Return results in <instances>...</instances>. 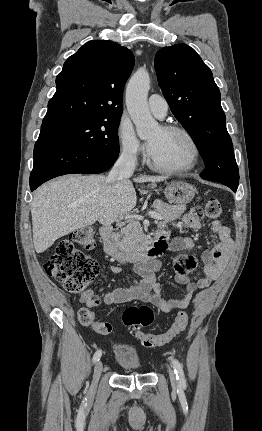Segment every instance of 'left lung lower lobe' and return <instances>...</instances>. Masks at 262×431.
<instances>
[{"label": "left lung lower lobe", "mask_w": 262, "mask_h": 431, "mask_svg": "<svg viewBox=\"0 0 262 431\" xmlns=\"http://www.w3.org/2000/svg\"><path fill=\"white\" fill-rule=\"evenodd\" d=\"M229 188H231L234 192H236V190H237V187H234V186H228Z\"/></svg>", "instance_id": "0a47b994"}]
</instances>
